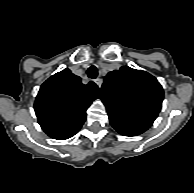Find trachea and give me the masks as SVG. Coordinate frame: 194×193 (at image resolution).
I'll use <instances>...</instances> for the list:
<instances>
[{"label": "trachea", "mask_w": 194, "mask_h": 193, "mask_svg": "<svg viewBox=\"0 0 194 193\" xmlns=\"http://www.w3.org/2000/svg\"><path fill=\"white\" fill-rule=\"evenodd\" d=\"M87 75L91 79H95L98 76V70L95 66H91L87 70Z\"/></svg>", "instance_id": "obj_1"}]
</instances>
